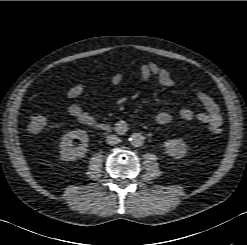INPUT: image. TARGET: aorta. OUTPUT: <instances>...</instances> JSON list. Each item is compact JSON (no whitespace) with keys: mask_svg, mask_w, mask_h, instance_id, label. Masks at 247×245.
Wrapping results in <instances>:
<instances>
[{"mask_svg":"<svg viewBox=\"0 0 247 245\" xmlns=\"http://www.w3.org/2000/svg\"><path fill=\"white\" fill-rule=\"evenodd\" d=\"M129 141L134 147H141L144 143V137L140 133H133L130 136Z\"/></svg>","mask_w":247,"mask_h":245,"instance_id":"aorta-1","label":"aorta"}]
</instances>
